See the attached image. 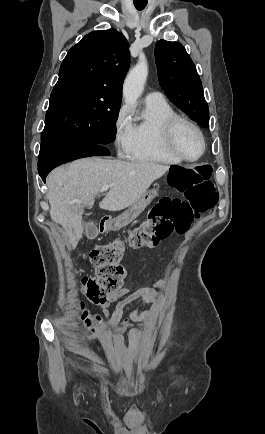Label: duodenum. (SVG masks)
I'll return each instance as SVG.
<instances>
[{"mask_svg": "<svg viewBox=\"0 0 265 434\" xmlns=\"http://www.w3.org/2000/svg\"><path fill=\"white\" fill-rule=\"evenodd\" d=\"M98 224H99V228L98 229H101V232H104L107 229V225L109 224V221L106 218H101L98 221Z\"/></svg>", "mask_w": 265, "mask_h": 434, "instance_id": "duodenum-1", "label": "duodenum"}]
</instances>
